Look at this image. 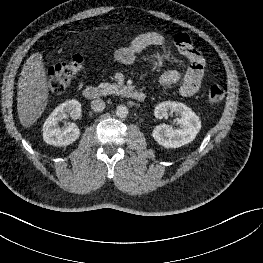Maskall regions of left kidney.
<instances>
[{
	"label": "left kidney",
	"mask_w": 263,
	"mask_h": 263,
	"mask_svg": "<svg viewBox=\"0 0 263 263\" xmlns=\"http://www.w3.org/2000/svg\"><path fill=\"white\" fill-rule=\"evenodd\" d=\"M171 114L179 116V128L174 130L166 124L156 126L152 132L155 141L165 148H179L192 142L201 128L199 117L191 108L179 102L165 101L155 107L157 119L168 118Z\"/></svg>",
	"instance_id": "5707ae66"
}]
</instances>
